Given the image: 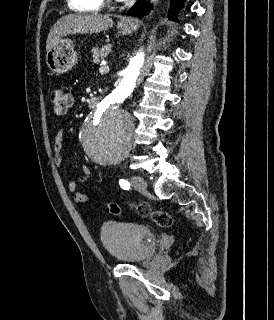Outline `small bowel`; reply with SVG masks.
Instances as JSON below:
<instances>
[{"instance_id":"obj_1","label":"small bowel","mask_w":274,"mask_h":320,"mask_svg":"<svg viewBox=\"0 0 274 320\" xmlns=\"http://www.w3.org/2000/svg\"><path fill=\"white\" fill-rule=\"evenodd\" d=\"M64 134L63 128H59L56 131L54 146H53V157L55 164L60 167L63 163V147H64ZM82 175L77 178H70L68 180L67 189L70 193L74 194V199L78 203H86L91 200V197L85 193L78 192V185L86 182L90 179L91 172L87 165H81Z\"/></svg>"}]
</instances>
